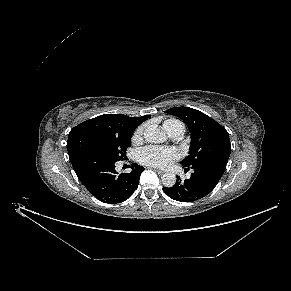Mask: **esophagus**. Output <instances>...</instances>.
<instances>
[{"instance_id": "1", "label": "esophagus", "mask_w": 291, "mask_h": 291, "mask_svg": "<svg viewBox=\"0 0 291 291\" xmlns=\"http://www.w3.org/2000/svg\"><path fill=\"white\" fill-rule=\"evenodd\" d=\"M153 170L156 171L159 175L164 174V171H162V170H158L156 168H153Z\"/></svg>"}]
</instances>
